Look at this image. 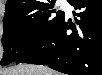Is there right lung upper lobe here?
<instances>
[{"label": "right lung upper lobe", "instance_id": "cb5924a9", "mask_svg": "<svg viewBox=\"0 0 102 75\" xmlns=\"http://www.w3.org/2000/svg\"><path fill=\"white\" fill-rule=\"evenodd\" d=\"M52 1L50 0H7L5 15L12 14L21 10L35 9L46 3H51Z\"/></svg>", "mask_w": 102, "mask_h": 75}]
</instances>
